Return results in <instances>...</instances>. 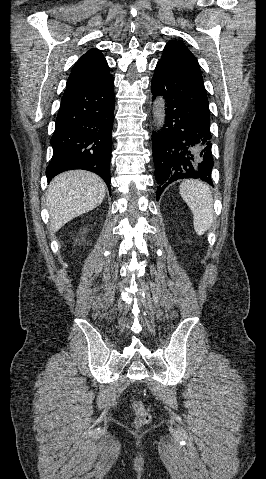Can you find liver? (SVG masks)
I'll use <instances>...</instances> for the list:
<instances>
[{
  "mask_svg": "<svg viewBox=\"0 0 266 479\" xmlns=\"http://www.w3.org/2000/svg\"><path fill=\"white\" fill-rule=\"evenodd\" d=\"M105 191L104 181L88 171H68L56 176L49 184L46 199L51 233L99 206Z\"/></svg>",
  "mask_w": 266,
  "mask_h": 479,
  "instance_id": "liver-1",
  "label": "liver"
}]
</instances>
